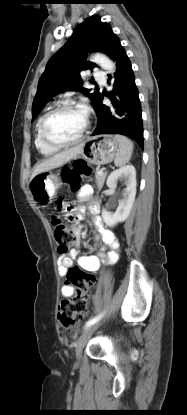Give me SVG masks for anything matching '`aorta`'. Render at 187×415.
<instances>
[{
    "instance_id": "1",
    "label": "aorta",
    "mask_w": 187,
    "mask_h": 415,
    "mask_svg": "<svg viewBox=\"0 0 187 415\" xmlns=\"http://www.w3.org/2000/svg\"><path fill=\"white\" fill-rule=\"evenodd\" d=\"M92 59L104 70L112 71L114 69V63L104 54L96 53L92 56Z\"/></svg>"
}]
</instances>
